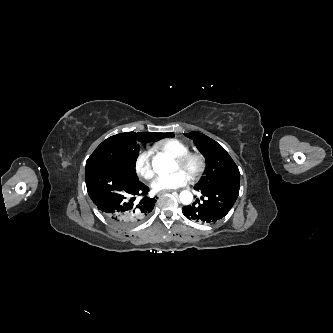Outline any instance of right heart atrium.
Masks as SVG:
<instances>
[{"mask_svg":"<svg viewBox=\"0 0 333 333\" xmlns=\"http://www.w3.org/2000/svg\"><path fill=\"white\" fill-rule=\"evenodd\" d=\"M152 155V150H144L137 156L135 160V171L141 178L145 180H150L154 176Z\"/></svg>","mask_w":333,"mask_h":333,"instance_id":"d8ad5b80","label":"right heart atrium"}]
</instances>
